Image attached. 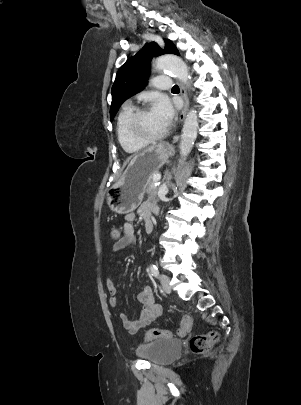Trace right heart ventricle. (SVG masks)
Segmentation results:
<instances>
[{
    "label": "right heart ventricle",
    "instance_id": "e07e8e85",
    "mask_svg": "<svg viewBox=\"0 0 301 405\" xmlns=\"http://www.w3.org/2000/svg\"><path fill=\"white\" fill-rule=\"evenodd\" d=\"M133 111V106L125 105L121 109L116 121V135L118 141L123 150L129 154L137 153L145 146V144L134 140L128 132V121Z\"/></svg>",
    "mask_w": 301,
    "mask_h": 405
}]
</instances>
